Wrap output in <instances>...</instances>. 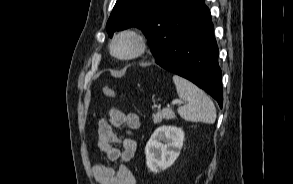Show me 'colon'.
<instances>
[{"label":"colon","mask_w":293,"mask_h":184,"mask_svg":"<svg viewBox=\"0 0 293 184\" xmlns=\"http://www.w3.org/2000/svg\"><path fill=\"white\" fill-rule=\"evenodd\" d=\"M102 93L107 98H116L117 96L116 91L109 86H104L102 88Z\"/></svg>","instance_id":"obj_1"}]
</instances>
